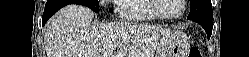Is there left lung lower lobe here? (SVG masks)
<instances>
[{
	"mask_svg": "<svg viewBox=\"0 0 249 57\" xmlns=\"http://www.w3.org/2000/svg\"><path fill=\"white\" fill-rule=\"evenodd\" d=\"M197 23H199L206 31L208 39L211 36L212 33V28H213V22L212 19H207V18H195L191 19Z\"/></svg>",
	"mask_w": 249,
	"mask_h": 57,
	"instance_id": "1",
	"label": "left lung lower lobe"
}]
</instances>
